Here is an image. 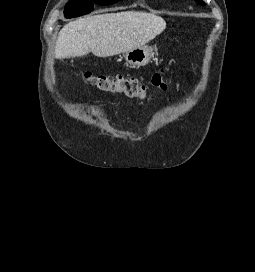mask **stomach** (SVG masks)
Instances as JSON below:
<instances>
[{"label": "stomach", "instance_id": "stomach-1", "mask_svg": "<svg viewBox=\"0 0 255 272\" xmlns=\"http://www.w3.org/2000/svg\"><path fill=\"white\" fill-rule=\"evenodd\" d=\"M154 56V49L148 46H141L132 49L125 54L126 63L139 68L147 65Z\"/></svg>", "mask_w": 255, "mask_h": 272}]
</instances>
